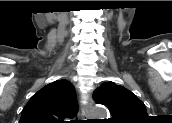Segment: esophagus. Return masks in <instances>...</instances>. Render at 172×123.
Listing matches in <instances>:
<instances>
[{
    "instance_id": "34e87169",
    "label": "esophagus",
    "mask_w": 172,
    "mask_h": 123,
    "mask_svg": "<svg viewBox=\"0 0 172 123\" xmlns=\"http://www.w3.org/2000/svg\"><path fill=\"white\" fill-rule=\"evenodd\" d=\"M92 106H93V100L91 95H89L87 103L82 106V109L85 112L87 119L89 120L92 119V116L90 114V109L92 108Z\"/></svg>"
}]
</instances>
